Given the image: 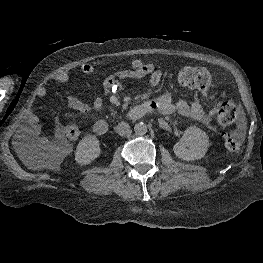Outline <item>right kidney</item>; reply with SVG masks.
Segmentation results:
<instances>
[{
	"label": "right kidney",
	"instance_id": "1",
	"mask_svg": "<svg viewBox=\"0 0 263 263\" xmlns=\"http://www.w3.org/2000/svg\"><path fill=\"white\" fill-rule=\"evenodd\" d=\"M101 153L100 143L96 136L87 135L78 144L75 160L80 165H88Z\"/></svg>",
	"mask_w": 263,
	"mask_h": 263
}]
</instances>
